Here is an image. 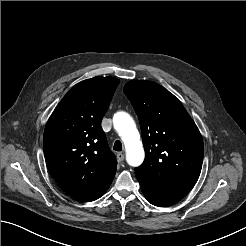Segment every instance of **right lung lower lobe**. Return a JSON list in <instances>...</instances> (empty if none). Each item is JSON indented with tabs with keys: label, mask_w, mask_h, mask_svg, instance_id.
<instances>
[{
	"label": "right lung lower lobe",
	"mask_w": 246,
	"mask_h": 246,
	"mask_svg": "<svg viewBox=\"0 0 246 246\" xmlns=\"http://www.w3.org/2000/svg\"><path fill=\"white\" fill-rule=\"evenodd\" d=\"M102 195L103 193H91V194H74L70 196L80 201L90 202L98 199Z\"/></svg>",
	"instance_id": "1"
}]
</instances>
